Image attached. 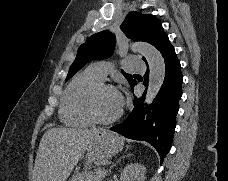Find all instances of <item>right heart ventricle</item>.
<instances>
[{
  "mask_svg": "<svg viewBox=\"0 0 228 181\" xmlns=\"http://www.w3.org/2000/svg\"><path fill=\"white\" fill-rule=\"evenodd\" d=\"M94 75L78 73L68 85L62 99L61 118L73 125H91L87 104L93 88L100 82Z\"/></svg>",
  "mask_w": 228,
  "mask_h": 181,
  "instance_id": "1",
  "label": "right heart ventricle"
}]
</instances>
